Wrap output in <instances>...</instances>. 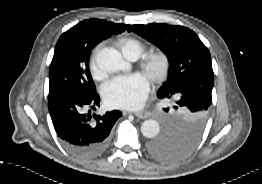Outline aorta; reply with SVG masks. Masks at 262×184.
Here are the masks:
<instances>
[{
  "label": "aorta",
  "instance_id": "obj_1",
  "mask_svg": "<svg viewBox=\"0 0 262 184\" xmlns=\"http://www.w3.org/2000/svg\"><path fill=\"white\" fill-rule=\"evenodd\" d=\"M159 131V125L154 120H147L142 125V133L146 137H154Z\"/></svg>",
  "mask_w": 262,
  "mask_h": 184
}]
</instances>
